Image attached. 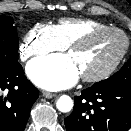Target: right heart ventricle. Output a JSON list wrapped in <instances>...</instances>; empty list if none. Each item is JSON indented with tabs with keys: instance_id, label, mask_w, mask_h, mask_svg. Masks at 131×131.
<instances>
[{
	"instance_id": "right-heart-ventricle-1",
	"label": "right heart ventricle",
	"mask_w": 131,
	"mask_h": 131,
	"mask_svg": "<svg viewBox=\"0 0 131 131\" xmlns=\"http://www.w3.org/2000/svg\"><path fill=\"white\" fill-rule=\"evenodd\" d=\"M107 26L103 22L88 18H63L53 25L59 40L65 47L86 32Z\"/></svg>"
}]
</instances>
